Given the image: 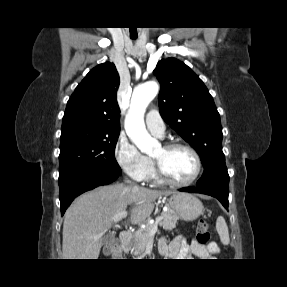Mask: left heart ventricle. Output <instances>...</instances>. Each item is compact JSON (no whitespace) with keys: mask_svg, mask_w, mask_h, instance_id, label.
Returning a JSON list of instances; mask_svg holds the SVG:
<instances>
[{"mask_svg":"<svg viewBox=\"0 0 287 287\" xmlns=\"http://www.w3.org/2000/svg\"><path fill=\"white\" fill-rule=\"evenodd\" d=\"M152 156L163 163L168 175L176 181H187L196 171L194 156L188 150L179 148L166 152L161 146Z\"/></svg>","mask_w":287,"mask_h":287,"instance_id":"obj_1","label":"left heart ventricle"}]
</instances>
